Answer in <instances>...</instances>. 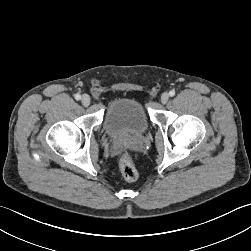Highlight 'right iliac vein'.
<instances>
[{
    "mask_svg": "<svg viewBox=\"0 0 251 251\" xmlns=\"http://www.w3.org/2000/svg\"><path fill=\"white\" fill-rule=\"evenodd\" d=\"M81 102L84 106H88L90 104V97L87 94H84L81 98Z\"/></svg>",
    "mask_w": 251,
    "mask_h": 251,
    "instance_id": "obj_1",
    "label": "right iliac vein"
}]
</instances>
